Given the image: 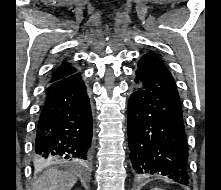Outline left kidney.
Returning a JSON list of instances; mask_svg holds the SVG:
<instances>
[{"label": "left kidney", "mask_w": 221, "mask_h": 190, "mask_svg": "<svg viewBox=\"0 0 221 190\" xmlns=\"http://www.w3.org/2000/svg\"><path fill=\"white\" fill-rule=\"evenodd\" d=\"M151 190H162V189H160V188H154V189H151Z\"/></svg>", "instance_id": "left-kidney-1"}]
</instances>
